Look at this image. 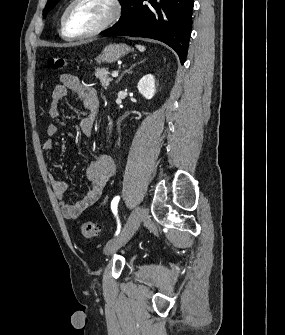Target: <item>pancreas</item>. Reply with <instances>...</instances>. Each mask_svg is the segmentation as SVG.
Segmentation results:
<instances>
[{
    "instance_id": "cf45deb5",
    "label": "pancreas",
    "mask_w": 285,
    "mask_h": 335,
    "mask_svg": "<svg viewBox=\"0 0 285 335\" xmlns=\"http://www.w3.org/2000/svg\"><path fill=\"white\" fill-rule=\"evenodd\" d=\"M109 74V68H96L95 76L100 80V84L104 90H107L110 82H112V78H109Z\"/></svg>"
}]
</instances>
